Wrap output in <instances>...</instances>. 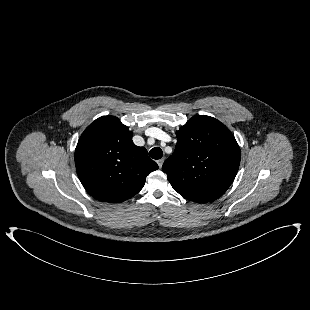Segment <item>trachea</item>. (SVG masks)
Returning a JSON list of instances; mask_svg holds the SVG:
<instances>
[{"mask_svg":"<svg viewBox=\"0 0 310 310\" xmlns=\"http://www.w3.org/2000/svg\"><path fill=\"white\" fill-rule=\"evenodd\" d=\"M149 156L155 160L162 158L163 156L162 149L159 147L152 148L149 152Z\"/></svg>","mask_w":310,"mask_h":310,"instance_id":"obj_1","label":"trachea"}]
</instances>
